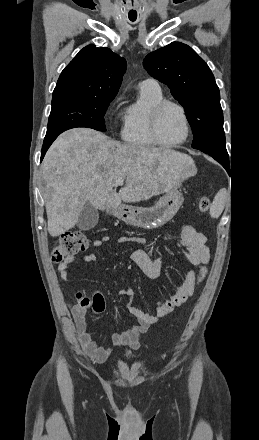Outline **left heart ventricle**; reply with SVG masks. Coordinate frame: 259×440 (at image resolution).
<instances>
[{"instance_id":"left-heart-ventricle-1","label":"left heart ventricle","mask_w":259,"mask_h":440,"mask_svg":"<svg viewBox=\"0 0 259 440\" xmlns=\"http://www.w3.org/2000/svg\"><path fill=\"white\" fill-rule=\"evenodd\" d=\"M159 135L166 143L180 141L185 135V125L181 113L175 107H167L159 121Z\"/></svg>"}]
</instances>
